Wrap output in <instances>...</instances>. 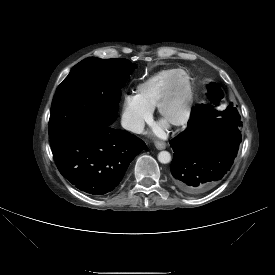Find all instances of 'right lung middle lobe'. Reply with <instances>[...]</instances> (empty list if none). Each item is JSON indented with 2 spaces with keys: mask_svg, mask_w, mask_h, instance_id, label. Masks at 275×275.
Returning a JSON list of instances; mask_svg holds the SVG:
<instances>
[{
  "mask_svg": "<svg viewBox=\"0 0 275 275\" xmlns=\"http://www.w3.org/2000/svg\"><path fill=\"white\" fill-rule=\"evenodd\" d=\"M136 66L126 59L89 57L75 65L52 101L49 136L93 126H110L117 118L120 93Z\"/></svg>",
  "mask_w": 275,
  "mask_h": 275,
  "instance_id": "1",
  "label": "right lung middle lobe"
}]
</instances>
